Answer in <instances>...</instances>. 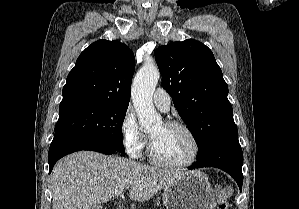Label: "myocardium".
<instances>
[{
  "mask_svg": "<svg viewBox=\"0 0 299 209\" xmlns=\"http://www.w3.org/2000/svg\"><path fill=\"white\" fill-rule=\"evenodd\" d=\"M164 125L169 128H178L186 132L193 142V154L187 161L182 163L167 162L157 155L152 139L150 138L148 145V155L151 162L157 166L169 169H182L194 165L197 162L201 152V145L195 132L185 123L176 120H167L164 122Z\"/></svg>",
  "mask_w": 299,
  "mask_h": 209,
  "instance_id": "myocardium-1",
  "label": "myocardium"
}]
</instances>
